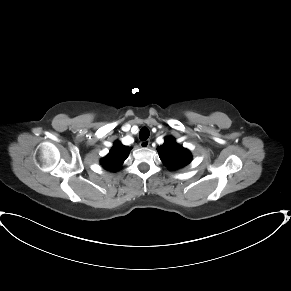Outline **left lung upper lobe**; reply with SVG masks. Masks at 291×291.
Instances as JSON below:
<instances>
[{
  "mask_svg": "<svg viewBox=\"0 0 291 291\" xmlns=\"http://www.w3.org/2000/svg\"><path fill=\"white\" fill-rule=\"evenodd\" d=\"M159 157L171 171L180 169L191 162L189 150L179 146L173 137L166 138L164 144L158 147Z\"/></svg>",
  "mask_w": 291,
  "mask_h": 291,
  "instance_id": "obj_1",
  "label": "left lung upper lobe"
}]
</instances>
